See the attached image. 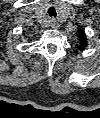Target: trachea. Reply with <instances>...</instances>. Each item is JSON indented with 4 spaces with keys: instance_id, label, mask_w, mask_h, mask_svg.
Returning a JSON list of instances; mask_svg holds the SVG:
<instances>
[{
    "instance_id": "trachea-1",
    "label": "trachea",
    "mask_w": 100,
    "mask_h": 118,
    "mask_svg": "<svg viewBox=\"0 0 100 118\" xmlns=\"http://www.w3.org/2000/svg\"><path fill=\"white\" fill-rule=\"evenodd\" d=\"M48 13H49V15H50L51 17H56V11H55L54 8L51 7V8L48 10Z\"/></svg>"
}]
</instances>
